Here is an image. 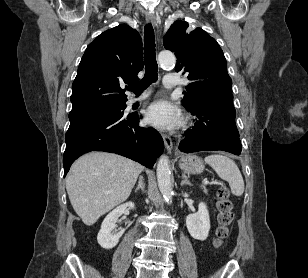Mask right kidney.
Returning <instances> with one entry per match:
<instances>
[{"instance_id": "ca27d5eb", "label": "right kidney", "mask_w": 308, "mask_h": 278, "mask_svg": "<svg viewBox=\"0 0 308 278\" xmlns=\"http://www.w3.org/2000/svg\"><path fill=\"white\" fill-rule=\"evenodd\" d=\"M127 208L134 209V203L128 202L118 206L112 212H110L102 222L101 229L97 235V241L102 248L112 249L119 242L120 237L124 233V229L118 233H113L112 231L116 227L115 223L117 219L124 213Z\"/></svg>"}]
</instances>
